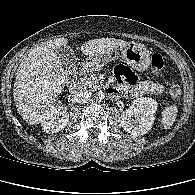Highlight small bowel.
Instances as JSON below:
<instances>
[{"label": "small bowel", "mask_w": 195, "mask_h": 195, "mask_svg": "<svg viewBox=\"0 0 195 195\" xmlns=\"http://www.w3.org/2000/svg\"><path fill=\"white\" fill-rule=\"evenodd\" d=\"M115 86L111 93L120 90L128 97H137L145 94H161L164 87L149 80H139L138 77L126 66L119 65L115 68Z\"/></svg>", "instance_id": "obj_1"}]
</instances>
